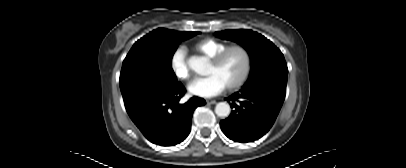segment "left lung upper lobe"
<instances>
[{
	"instance_id": "5c2ea615",
	"label": "left lung upper lobe",
	"mask_w": 406,
	"mask_h": 168,
	"mask_svg": "<svg viewBox=\"0 0 406 168\" xmlns=\"http://www.w3.org/2000/svg\"><path fill=\"white\" fill-rule=\"evenodd\" d=\"M217 36L242 45L251 58V72L243 88L252 85L286 86L288 68L281 51L267 38L252 30H225Z\"/></svg>"
}]
</instances>
